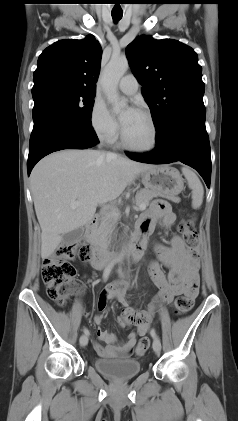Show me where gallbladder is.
Masks as SVG:
<instances>
[{"label":"gallbladder","instance_id":"1","mask_svg":"<svg viewBox=\"0 0 238 421\" xmlns=\"http://www.w3.org/2000/svg\"><path fill=\"white\" fill-rule=\"evenodd\" d=\"M82 234H83V229L80 227L66 233L63 236V240L66 244H73L82 236Z\"/></svg>","mask_w":238,"mask_h":421}]
</instances>
